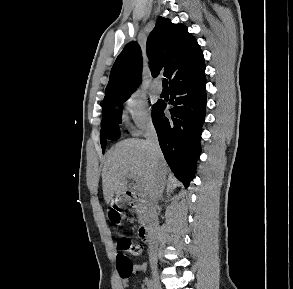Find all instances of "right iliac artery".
<instances>
[{
    "label": "right iliac artery",
    "instance_id": "right-iliac-artery-1",
    "mask_svg": "<svg viewBox=\"0 0 293 289\" xmlns=\"http://www.w3.org/2000/svg\"><path fill=\"white\" fill-rule=\"evenodd\" d=\"M147 288L148 289H153V282H152V280H147Z\"/></svg>",
    "mask_w": 293,
    "mask_h": 289
}]
</instances>
